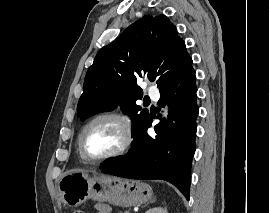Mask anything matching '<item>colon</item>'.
<instances>
[{
	"instance_id": "obj_1",
	"label": "colon",
	"mask_w": 270,
	"mask_h": 213,
	"mask_svg": "<svg viewBox=\"0 0 270 213\" xmlns=\"http://www.w3.org/2000/svg\"><path fill=\"white\" fill-rule=\"evenodd\" d=\"M73 213H84V212L83 211H80V210H76Z\"/></svg>"
}]
</instances>
